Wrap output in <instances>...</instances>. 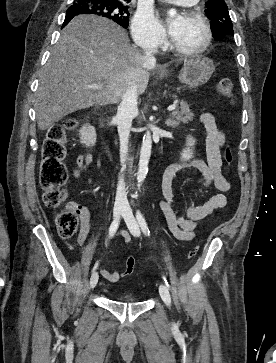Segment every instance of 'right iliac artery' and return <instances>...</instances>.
Listing matches in <instances>:
<instances>
[{
    "label": "right iliac artery",
    "instance_id": "obj_1",
    "mask_svg": "<svg viewBox=\"0 0 276 363\" xmlns=\"http://www.w3.org/2000/svg\"><path fill=\"white\" fill-rule=\"evenodd\" d=\"M119 222H120V217H118L117 219H115L111 226H110V229H109V238H111L112 236H114L115 232L117 231L118 229V226H119ZM98 264H95V266L93 267L92 269V273L95 272L96 268H97Z\"/></svg>",
    "mask_w": 276,
    "mask_h": 363
}]
</instances>
